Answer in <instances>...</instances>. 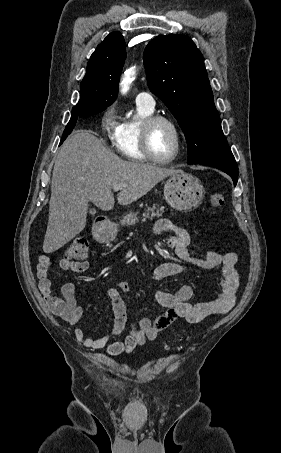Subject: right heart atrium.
I'll return each mask as SVG.
<instances>
[{"mask_svg": "<svg viewBox=\"0 0 281 453\" xmlns=\"http://www.w3.org/2000/svg\"><path fill=\"white\" fill-rule=\"evenodd\" d=\"M121 90H124V79L121 81ZM120 122L117 119V106L116 104H111L105 108L102 112L100 118V129L102 134L112 140L115 139ZM103 157L111 158V155L107 152L103 153Z\"/></svg>", "mask_w": 281, "mask_h": 453, "instance_id": "obj_1", "label": "right heart atrium"}]
</instances>
